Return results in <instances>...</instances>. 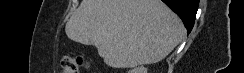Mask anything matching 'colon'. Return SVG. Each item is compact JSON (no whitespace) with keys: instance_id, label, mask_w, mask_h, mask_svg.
Returning <instances> with one entry per match:
<instances>
[{"instance_id":"5ec220e1","label":"colon","mask_w":244,"mask_h":73,"mask_svg":"<svg viewBox=\"0 0 244 73\" xmlns=\"http://www.w3.org/2000/svg\"><path fill=\"white\" fill-rule=\"evenodd\" d=\"M61 65L64 73H78L79 68L86 65V63L81 56H65L61 61Z\"/></svg>"}]
</instances>
